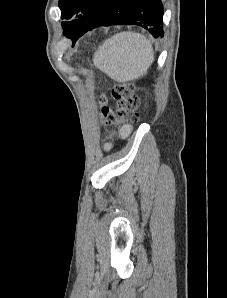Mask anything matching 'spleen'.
<instances>
[{"mask_svg": "<svg viewBox=\"0 0 227 298\" xmlns=\"http://www.w3.org/2000/svg\"><path fill=\"white\" fill-rule=\"evenodd\" d=\"M154 61L150 41L136 32H120L105 40L94 54V65L119 82L135 80Z\"/></svg>", "mask_w": 227, "mask_h": 298, "instance_id": "obj_1", "label": "spleen"}]
</instances>
